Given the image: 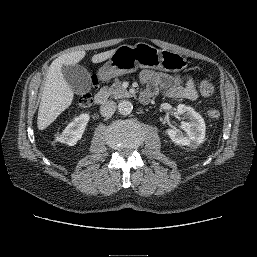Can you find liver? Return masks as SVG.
Segmentation results:
<instances>
[{"mask_svg":"<svg viewBox=\"0 0 257 257\" xmlns=\"http://www.w3.org/2000/svg\"><path fill=\"white\" fill-rule=\"evenodd\" d=\"M116 49L96 54L92 57L93 63H100L109 59ZM86 55L85 51H75L64 54L55 59L46 77L38 110L37 126L39 130L47 128L73 100L74 92L64 79L63 65H76Z\"/></svg>","mask_w":257,"mask_h":257,"instance_id":"obj_1","label":"liver"}]
</instances>
